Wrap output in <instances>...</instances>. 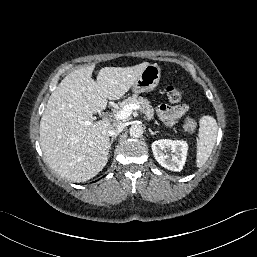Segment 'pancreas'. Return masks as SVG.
<instances>
[{
	"label": "pancreas",
	"mask_w": 257,
	"mask_h": 257,
	"mask_svg": "<svg viewBox=\"0 0 257 257\" xmlns=\"http://www.w3.org/2000/svg\"><path fill=\"white\" fill-rule=\"evenodd\" d=\"M128 104H139L143 107L145 116L148 120L153 119L154 115V109L150 105L149 101L143 97H140L138 95H133L132 97H128L127 99L123 100L118 104V109L116 112L120 109H122L125 105Z\"/></svg>",
	"instance_id": "obj_1"
}]
</instances>
